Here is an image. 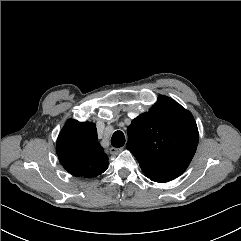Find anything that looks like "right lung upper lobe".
<instances>
[{
  "label": "right lung upper lobe",
  "instance_id": "right-lung-upper-lobe-1",
  "mask_svg": "<svg viewBox=\"0 0 241 241\" xmlns=\"http://www.w3.org/2000/svg\"><path fill=\"white\" fill-rule=\"evenodd\" d=\"M97 140L94 123L68 120L57 139L60 163L74 176L90 178L102 174L108 168V157Z\"/></svg>",
  "mask_w": 241,
  "mask_h": 241
}]
</instances>
